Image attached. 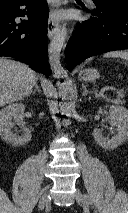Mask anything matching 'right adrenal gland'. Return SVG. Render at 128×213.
<instances>
[{
    "instance_id": "obj_1",
    "label": "right adrenal gland",
    "mask_w": 128,
    "mask_h": 213,
    "mask_svg": "<svg viewBox=\"0 0 128 213\" xmlns=\"http://www.w3.org/2000/svg\"><path fill=\"white\" fill-rule=\"evenodd\" d=\"M36 92L41 93V90H40V88L38 87L37 82H36V84H35V89H34V91H33L32 93L35 94Z\"/></svg>"
}]
</instances>
